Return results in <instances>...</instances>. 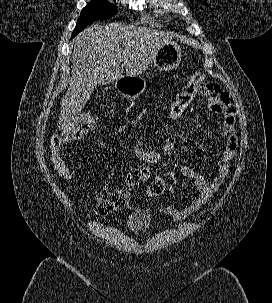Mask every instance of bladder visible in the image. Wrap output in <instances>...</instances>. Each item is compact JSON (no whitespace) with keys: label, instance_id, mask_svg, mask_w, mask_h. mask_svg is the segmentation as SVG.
<instances>
[{"label":"bladder","instance_id":"obj_1","mask_svg":"<svg viewBox=\"0 0 272 303\" xmlns=\"http://www.w3.org/2000/svg\"><path fill=\"white\" fill-rule=\"evenodd\" d=\"M152 222V215L144 209H135L127 220L128 227L135 233L146 231L150 228Z\"/></svg>","mask_w":272,"mask_h":303}]
</instances>
